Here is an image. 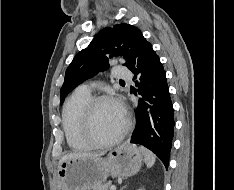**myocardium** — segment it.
I'll list each match as a JSON object with an SVG mask.
<instances>
[{
	"mask_svg": "<svg viewBox=\"0 0 234 190\" xmlns=\"http://www.w3.org/2000/svg\"><path fill=\"white\" fill-rule=\"evenodd\" d=\"M107 102H113L118 105L117 101L111 96L100 95V96L91 97L90 100L84 106L82 111V116H81L82 133L84 138L87 140V142L94 147H108L118 143L125 137V135L128 133L131 127L130 119L128 118L126 112L122 109L125 118V124L121 129V131L112 138L107 140H99L95 137L92 130V121H93L94 112L99 105Z\"/></svg>",
	"mask_w": 234,
	"mask_h": 190,
	"instance_id": "myocardium-1",
	"label": "myocardium"
}]
</instances>
